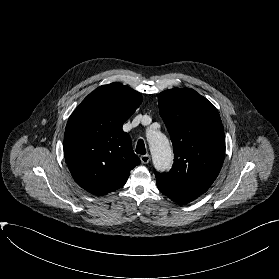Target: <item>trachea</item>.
Masks as SVG:
<instances>
[{"instance_id": "trachea-1", "label": "trachea", "mask_w": 279, "mask_h": 279, "mask_svg": "<svg viewBox=\"0 0 279 279\" xmlns=\"http://www.w3.org/2000/svg\"><path fill=\"white\" fill-rule=\"evenodd\" d=\"M136 153L137 154H146L145 144L142 139H139L136 145Z\"/></svg>"}]
</instances>
